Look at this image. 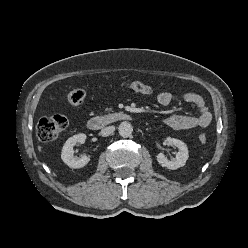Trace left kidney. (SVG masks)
<instances>
[{"instance_id":"1","label":"left kidney","mask_w":248,"mask_h":248,"mask_svg":"<svg viewBox=\"0 0 248 248\" xmlns=\"http://www.w3.org/2000/svg\"><path fill=\"white\" fill-rule=\"evenodd\" d=\"M167 143L174 145L178 148V153L176 157L169 160L163 153L157 155L158 163L167 169L175 170L177 168L183 167L189 157L187 145L181 140L168 137L166 139Z\"/></svg>"}]
</instances>
